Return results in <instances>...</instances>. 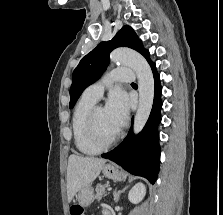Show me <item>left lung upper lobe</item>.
<instances>
[{
    "mask_svg": "<svg viewBox=\"0 0 223 215\" xmlns=\"http://www.w3.org/2000/svg\"><path fill=\"white\" fill-rule=\"evenodd\" d=\"M117 47L132 48L141 53L150 65L153 63L134 30L128 25L124 26L112 40L101 42L84 56L75 68L70 88V108L75 105L84 89L100 78L108 66L109 53Z\"/></svg>",
    "mask_w": 223,
    "mask_h": 215,
    "instance_id": "obj_1",
    "label": "left lung upper lobe"
}]
</instances>
